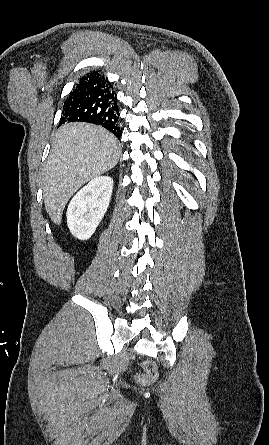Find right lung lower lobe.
I'll list each match as a JSON object with an SVG mask.
<instances>
[{
  "label": "right lung lower lobe",
  "mask_w": 269,
  "mask_h": 445,
  "mask_svg": "<svg viewBox=\"0 0 269 445\" xmlns=\"http://www.w3.org/2000/svg\"><path fill=\"white\" fill-rule=\"evenodd\" d=\"M119 115L117 96L111 83L93 71L81 77L70 92L64 102L60 122L82 121L101 125L120 139Z\"/></svg>",
  "instance_id": "98d812e1"
}]
</instances>
